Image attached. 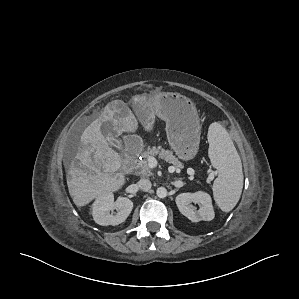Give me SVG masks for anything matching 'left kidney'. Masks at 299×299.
Here are the masks:
<instances>
[{"instance_id":"5707ae66","label":"left kidney","mask_w":299,"mask_h":299,"mask_svg":"<svg viewBox=\"0 0 299 299\" xmlns=\"http://www.w3.org/2000/svg\"><path fill=\"white\" fill-rule=\"evenodd\" d=\"M175 201L180 213L192 222L211 221L214 219L212 200L206 192L182 193L176 197ZM192 203L200 204V208L195 210Z\"/></svg>"}]
</instances>
